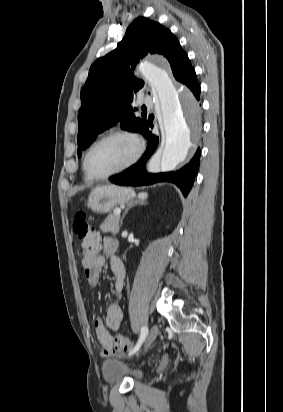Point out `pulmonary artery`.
Listing matches in <instances>:
<instances>
[{
	"label": "pulmonary artery",
	"instance_id": "1",
	"mask_svg": "<svg viewBox=\"0 0 283 412\" xmlns=\"http://www.w3.org/2000/svg\"><path fill=\"white\" fill-rule=\"evenodd\" d=\"M140 103L146 106H151L152 105V101L151 98L147 97V96H140Z\"/></svg>",
	"mask_w": 283,
	"mask_h": 412
}]
</instances>
